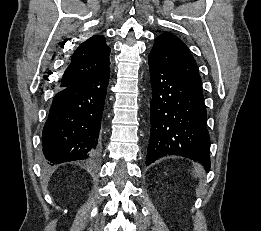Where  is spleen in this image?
Segmentation results:
<instances>
[{
    "label": "spleen",
    "instance_id": "spleen-1",
    "mask_svg": "<svg viewBox=\"0 0 261 231\" xmlns=\"http://www.w3.org/2000/svg\"><path fill=\"white\" fill-rule=\"evenodd\" d=\"M194 171L196 172V174H198L201 171V168L199 166L195 167Z\"/></svg>",
    "mask_w": 261,
    "mask_h": 231
}]
</instances>
